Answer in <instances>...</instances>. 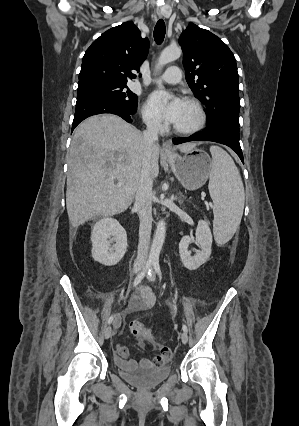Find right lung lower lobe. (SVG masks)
I'll return each instance as SVG.
<instances>
[{
  "label": "right lung lower lobe",
  "instance_id": "right-lung-lower-lobe-1",
  "mask_svg": "<svg viewBox=\"0 0 299 426\" xmlns=\"http://www.w3.org/2000/svg\"><path fill=\"white\" fill-rule=\"evenodd\" d=\"M137 111L136 108H127L113 100L105 97L86 95L77 98L76 111L72 124V131L84 119L96 114L111 113L120 116L127 122H132L131 116Z\"/></svg>",
  "mask_w": 299,
  "mask_h": 426
}]
</instances>
